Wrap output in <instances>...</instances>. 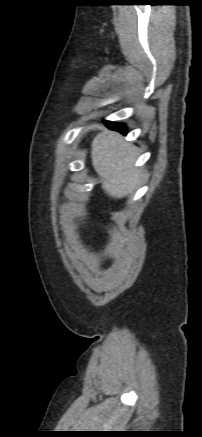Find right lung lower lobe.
Returning <instances> with one entry per match:
<instances>
[{
    "mask_svg": "<svg viewBox=\"0 0 202 437\" xmlns=\"http://www.w3.org/2000/svg\"><path fill=\"white\" fill-rule=\"evenodd\" d=\"M107 125L112 130H116V131H119V132H121L123 134H126V127H125V125L123 123H116V124H114V123H111V122H107Z\"/></svg>",
    "mask_w": 202,
    "mask_h": 437,
    "instance_id": "98d812e1",
    "label": "right lung lower lobe"
}]
</instances>
